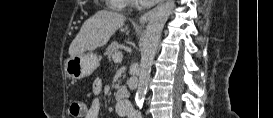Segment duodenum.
I'll return each mask as SVG.
<instances>
[{"mask_svg":"<svg viewBox=\"0 0 273 118\" xmlns=\"http://www.w3.org/2000/svg\"><path fill=\"white\" fill-rule=\"evenodd\" d=\"M116 99L122 101L129 97V91L125 87H119L115 92Z\"/></svg>","mask_w":273,"mask_h":118,"instance_id":"duodenum-1","label":"duodenum"}]
</instances>
